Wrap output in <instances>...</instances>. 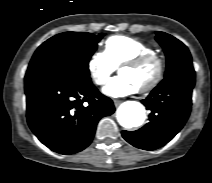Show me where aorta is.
<instances>
[{
    "label": "aorta",
    "instance_id": "aorta-1",
    "mask_svg": "<svg viewBox=\"0 0 212 183\" xmlns=\"http://www.w3.org/2000/svg\"><path fill=\"white\" fill-rule=\"evenodd\" d=\"M145 108L136 101H127L117 110V120L125 128L139 127L145 120Z\"/></svg>",
    "mask_w": 212,
    "mask_h": 183
}]
</instances>
